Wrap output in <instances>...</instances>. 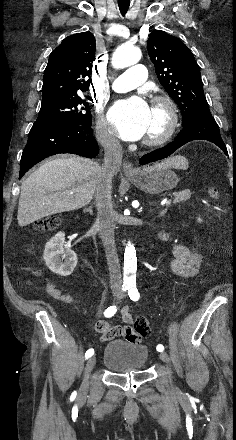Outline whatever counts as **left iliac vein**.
I'll return each instance as SVG.
<instances>
[{
    "label": "left iliac vein",
    "instance_id": "obj_1",
    "mask_svg": "<svg viewBox=\"0 0 236 440\" xmlns=\"http://www.w3.org/2000/svg\"><path fill=\"white\" fill-rule=\"evenodd\" d=\"M159 357H160V359H161L163 362L168 363V362L170 361V358H169V356H168V354H167L166 352H162V353H160V354H159Z\"/></svg>",
    "mask_w": 236,
    "mask_h": 440
}]
</instances>
